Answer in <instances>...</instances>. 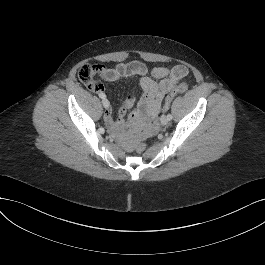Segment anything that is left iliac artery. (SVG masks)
I'll use <instances>...</instances> for the list:
<instances>
[{"mask_svg": "<svg viewBox=\"0 0 265 265\" xmlns=\"http://www.w3.org/2000/svg\"><path fill=\"white\" fill-rule=\"evenodd\" d=\"M167 118H168V120H171L172 119V115L171 114H168L167 115Z\"/></svg>", "mask_w": 265, "mask_h": 265, "instance_id": "obj_1", "label": "left iliac artery"}]
</instances>
